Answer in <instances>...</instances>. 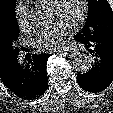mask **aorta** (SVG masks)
<instances>
[{"label": "aorta", "instance_id": "762f6f07", "mask_svg": "<svg viewBox=\"0 0 113 113\" xmlns=\"http://www.w3.org/2000/svg\"><path fill=\"white\" fill-rule=\"evenodd\" d=\"M33 15L40 23H45L49 20V13L43 8H36ZM94 63V58L90 54L78 53L73 58V67L80 73L88 72Z\"/></svg>", "mask_w": 113, "mask_h": 113}]
</instances>
